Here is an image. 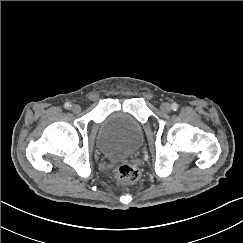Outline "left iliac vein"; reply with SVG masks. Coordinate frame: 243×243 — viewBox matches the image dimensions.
Wrapping results in <instances>:
<instances>
[{"instance_id": "4c4485c4", "label": "left iliac vein", "mask_w": 243, "mask_h": 243, "mask_svg": "<svg viewBox=\"0 0 243 243\" xmlns=\"http://www.w3.org/2000/svg\"><path fill=\"white\" fill-rule=\"evenodd\" d=\"M160 110L164 113H169L171 111V105L169 103H162L160 106Z\"/></svg>"}]
</instances>
